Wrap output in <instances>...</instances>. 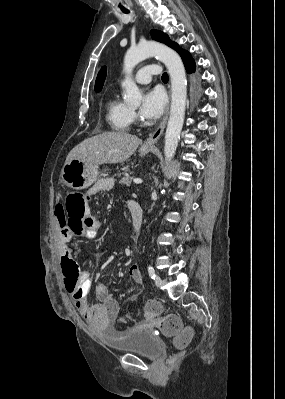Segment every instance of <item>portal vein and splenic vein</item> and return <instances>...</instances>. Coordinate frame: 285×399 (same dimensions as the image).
Instances as JSON below:
<instances>
[{"label": "portal vein and splenic vein", "mask_w": 285, "mask_h": 399, "mask_svg": "<svg viewBox=\"0 0 285 399\" xmlns=\"http://www.w3.org/2000/svg\"><path fill=\"white\" fill-rule=\"evenodd\" d=\"M133 182H134L135 184H141V183H142V180H141V179H134Z\"/></svg>", "instance_id": "portal-vein-and-splenic-vein-1"}]
</instances>
